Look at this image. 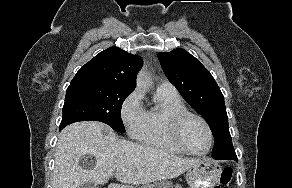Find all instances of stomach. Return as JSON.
<instances>
[{
    "label": "stomach",
    "instance_id": "obj_1",
    "mask_svg": "<svg viewBox=\"0 0 292 188\" xmlns=\"http://www.w3.org/2000/svg\"><path fill=\"white\" fill-rule=\"evenodd\" d=\"M222 169L218 162L210 158H201L186 173L190 188H214L221 177Z\"/></svg>",
    "mask_w": 292,
    "mask_h": 188
}]
</instances>
